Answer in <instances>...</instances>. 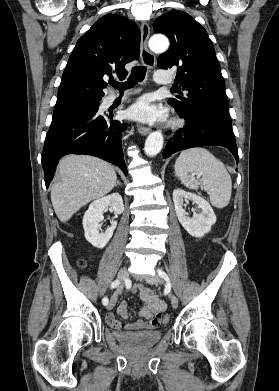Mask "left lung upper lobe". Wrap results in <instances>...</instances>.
I'll list each match as a JSON object with an SVG mask.
<instances>
[{"instance_id":"left-lung-upper-lobe-1","label":"left lung upper lobe","mask_w":279,"mask_h":391,"mask_svg":"<svg viewBox=\"0 0 279 391\" xmlns=\"http://www.w3.org/2000/svg\"><path fill=\"white\" fill-rule=\"evenodd\" d=\"M155 33L170 39V48L158 58L160 69L177 67L175 80L188 93L171 98L177 111L207 108L230 118L225 82L206 30L185 12L172 10L153 23Z\"/></svg>"}]
</instances>
